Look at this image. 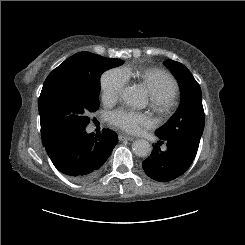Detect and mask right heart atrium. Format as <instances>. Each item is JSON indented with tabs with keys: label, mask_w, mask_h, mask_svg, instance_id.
I'll list each match as a JSON object with an SVG mask.
<instances>
[{
	"label": "right heart atrium",
	"mask_w": 245,
	"mask_h": 245,
	"mask_svg": "<svg viewBox=\"0 0 245 245\" xmlns=\"http://www.w3.org/2000/svg\"><path fill=\"white\" fill-rule=\"evenodd\" d=\"M127 78L122 68H112L103 73L100 80L104 100H114L122 93Z\"/></svg>",
	"instance_id": "d8ad5b80"
}]
</instances>
